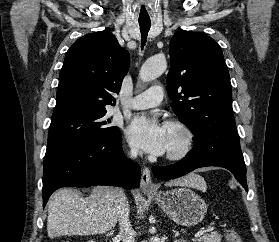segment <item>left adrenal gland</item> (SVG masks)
Returning <instances> with one entry per match:
<instances>
[{
  "instance_id": "1",
  "label": "left adrenal gland",
  "mask_w": 279,
  "mask_h": 242,
  "mask_svg": "<svg viewBox=\"0 0 279 242\" xmlns=\"http://www.w3.org/2000/svg\"><path fill=\"white\" fill-rule=\"evenodd\" d=\"M175 242H186V241L183 239H178V240H175Z\"/></svg>"
}]
</instances>
